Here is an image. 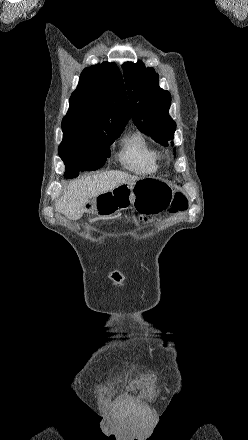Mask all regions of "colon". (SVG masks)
Returning <instances> with one entry per match:
<instances>
[{"instance_id": "5ec220e1", "label": "colon", "mask_w": 248, "mask_h": 440, "mask_svg": "<svg viewBox=\"0 0 248 440\" xmlns=\"http://www.w3.org/2000/svg\"><path fill=\"white\" fill-rule=\"evenodd\" d=\"M188 208V201L184 193L177 192L173 198L171 212L177 213L185 211Z\"/></svg>"}]
</instances>
